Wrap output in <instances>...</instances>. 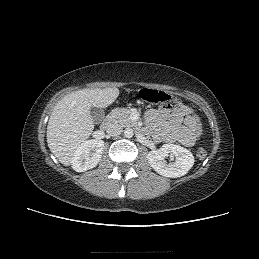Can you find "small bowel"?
Segmentation results:
<instances>
[{
    "instance_id": "c3829d8e",
    "label": "small bowel",
    "mask_w": 259,
    "mask_h": 259,
    "mask_svg": "<svg viewBox=\"0 0 259 259\" xmlns=\"http://www.w3.org/2000/svg\"><path fill=\"white\" fill-rule=\"evenodd\" d=\"M191 110L192 108L183 104L174 108H153L145 113V117L159 140L179 142L190 147L196 143L191 124Z\"/></svg>"
}]
</instances>
